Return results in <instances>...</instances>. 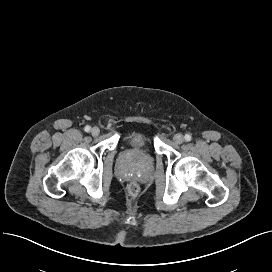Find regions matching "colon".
Returning a JSON list of instances; mask_svg holds the SVG:
<instances>
[{"label": "colon", "instance_id": "1", "mask_svg": "<svg viewBox=\"0 0 272 272\" xmlns=\"http://www.w3.org/2000/svg\"><path fill=\"white\" fill-rule=\"evenodd\" d=\"M139 185L137 183H131L128 186V192L130 195L135 196L139 193Z\"/></svg>", "mask_w": 272, "mask_h": 272}]
</instances>
